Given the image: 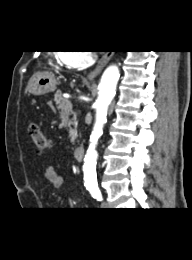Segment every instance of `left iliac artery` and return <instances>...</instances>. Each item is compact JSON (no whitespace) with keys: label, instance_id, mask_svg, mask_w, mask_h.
I'll use <instances>...</instances> for the list:
<instances>
[{"label":"left iliac artery","instance_id":"left-iliac-artery-1","mask_svg":"<svg viewBox=\"0 0 192 260\" xmlns=\"http://www.w3.org/2000/svg\"><path fill=\"white\" fill-rule=\"evenodd\" d=\"M88 190L90 191V194L93 198L97 199L98 201L102 200V195L97 185L90 186Z\"/></svg>","mask_w":192,"mask_h":260}]
</instances>
